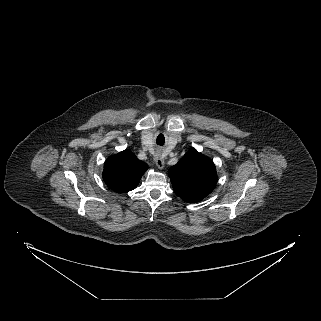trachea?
<instances>
[{
	"instance_id": "obj_1",
	"label": "trachea",
	"mask_w": 321,
	"mask_h": 321,
	"mask_svg": "<svg viewBox=\"0 0 321 321\" xmlns=\"http://www.w3.org/2000/svg\"><path fill=\"white\" fill-rule=\"evenodd\" d=\"M157 143H158V142H157ZM158 145H163V143H160V144L158 143Z\"/></svg>"
}]
</instances>
